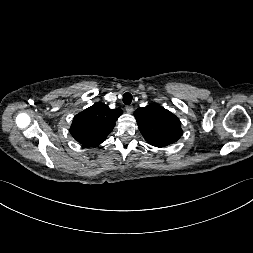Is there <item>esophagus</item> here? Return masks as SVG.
<instances>
[{
  "instance_id": "esophagus-1",
  "label": "esophagus",
  "mask_w": 253,
  "mask_h": 253,
  "mask_svg": "<svg viewBox=\"0 0 253 253\" xmlns=\"http://www.w3.org/2000/svg\"><path fill=\"white\" fill-rule=\"evenodd\" d=\"M133 110H134V108H133L132 105H127V106H126V112H127V113H132Z\"/></svg>"
}]
</instances>
